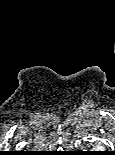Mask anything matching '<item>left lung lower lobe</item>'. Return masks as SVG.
Instances as JSON below:
<instances>
[{
	"instance_id": "left-lung-lower-lobe-1",
	"label": "left lung lower lobe",
	"mask_w": 115,
	"mask_h": 155,
	"mask_svg": "<svg viewBox=\"0 0 115 155\" xmlns=\"http://www.w3.org/2000/svg\"><path fill=\"white\" fill-rule=\"evenodd\" d=\"M97 155H111V154L102 152V153H99V154H97ZM113 155H114V154H113Z\"/></svg>"
}]
</instances>
